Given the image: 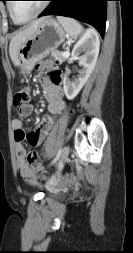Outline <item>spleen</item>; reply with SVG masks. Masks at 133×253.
<instances>
[{"instance_id":"obj_1","label":"spleen","mask_w":133,"mask_h":253,"mask_svg":"<svg viewBox=\"0 0 133 253\" xmlns=\"http://www.w3.org/2000/svg\"><path fill=\"white\" fill-rule=\"evenodd\" d=\"M57 19L65 31L73 38L78 37L83 32V27L76 20L64 16H57Z\"/></svg>"}]
</instances>
